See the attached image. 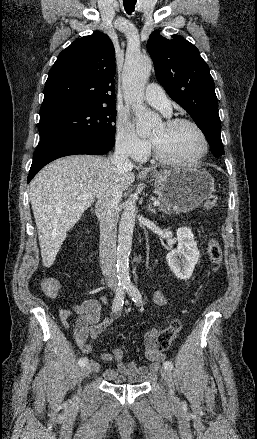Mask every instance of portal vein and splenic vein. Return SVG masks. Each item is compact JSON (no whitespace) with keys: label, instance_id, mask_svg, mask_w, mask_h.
Listing matches in <instances>:
<instances>
[{"label":"portal vein and splenic vein","instance_id":"18ae733b","mask_svg":"<svg viewBox=\"0 0 257 439\" xmlns=\"http://www.w3.org/2000/svg\"><path fill=\"white\" fill-rule=\"evenodd\" d=\"M87 198H91V196H89V195H80V196H78V200H85V199H87ZM153 205L154 206H159L160 205V201L159 200H155L154 202H153Z\"/></svg>","mask_w":257,"mask_h":439}]
</instances>
